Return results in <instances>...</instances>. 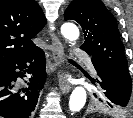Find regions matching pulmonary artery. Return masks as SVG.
Instances as JSON below:
<instances>
[{"instance_id":"e3ab8cb5","label":"pulmonary artery","mask_w":133,"mask_h":118,"mask_svg":"<svg viewBox=\"0 0 133 118\" xmlns=\"http://www.w3.org/2000/svg\"><path fill=\"white\" fill-rule=\"evenodd\" d=\"M72 54L77 57V58H82V59H85L86 62L90 65L91 69H94L93 65H92V61H91V58L89 56H87L86 53L78 50V49H73L72 50Z\"/></svg>"}]
</instances>
